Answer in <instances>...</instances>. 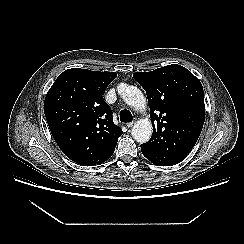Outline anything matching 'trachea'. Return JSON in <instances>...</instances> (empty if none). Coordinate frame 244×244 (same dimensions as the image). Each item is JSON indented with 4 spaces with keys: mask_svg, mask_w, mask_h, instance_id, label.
<instances>
[{
    "mask_svg": "<svg viewBox=\"0 0 244 244\" xmlns=\"http://www.w3.org/2000/svg\"><path fill=\"white\" fill-rule=\"evenodd\" d=\"M133 119L132 114L129 110L124 109L120 112V121L127 123V122H131Z\"/></svg>",
    "mask_w": 244,
    "mask_h": 244,
    "instance_id": "1",
    "label": "trachea"
}]
</instances>
